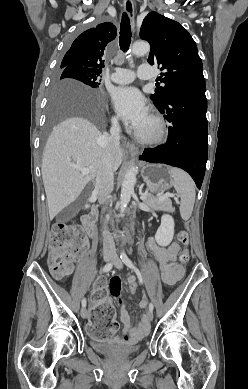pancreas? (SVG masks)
I'll list each match as a JSON object with an SVG mask.
<instances>
[{
	"label": "pancreas",
	"mask_w": 248,
	"mask_h": 389,
	"mask_svg": "<svg viewBox=\"0 0 248 389\" xmlns=\"http://www.w3.org/2000/svg\"><path fill=\"white\" fill-rule=\"evenodd\" d=\"M145 196L146 199L144 202L155 210H166L169 212H173L175 210L172 207V202L169 198L161 200L159 197H154L149 193H146Z\"/></svg>",
	"instance_id": "pancreas-1"
}]
</instances>
